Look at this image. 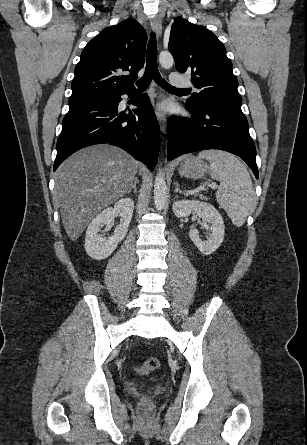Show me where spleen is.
Listing matches in <instances>:
<instances>
[{
    "label": "spleen",
    "instance_id": "obj_1",
    "mask_svg": "<svg viewBox=\"0 0 307 445\" xmlns=\"http://www.w3.org/2000/svg\"><path fill=\"white\" fill-rule=\"evenodd\" d=\"M198 158L210 162V176L219 180L216 198L235 227H242L254 212L256 200L251 176L243 162L225 150H202Z\"/></svg>",
    "mask_w": 307,
    "mask_h": 445
}]
</instances>
